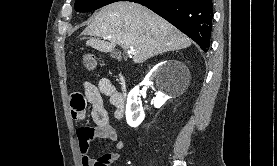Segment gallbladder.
Instances as JSON below:
<instances>
[{
    "label": "gallbladder",
    "instance_id": "gallbladder-1",
    "mask_svg": "<svg viewBox=\"0 0 277 166\" xmlns=\"http://www.w3.org/2000/svg\"><path fill=\"white\" fill-rule=\"evenodd\" d=\"M110 55H111V57L114 58V59H120V58H121V54H120V52L117 51V50H113V51L111 52Z\"/></svg>",
    "mask_w": 277,
    "mask_h": 166
}]
</instances>
